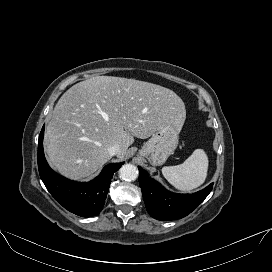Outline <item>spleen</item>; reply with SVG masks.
Instances as JSON below:
<instances>
[{"instance_id":"spleen-1","label":"spleen","mask_w":272,"mask_h":272,"mask_svg":"<svg viewBox=\"0 0 272 272\" xmlns=\"http://www.w3.org/2000/svg\"><path fill=\"white\" fill-rule=\"evenodd\" d=\"M208 157L203 149H196L182 164L165 166L162 174L176 189L191 191L202 185L207 177Z\"/></svg>"}]
</instances>
